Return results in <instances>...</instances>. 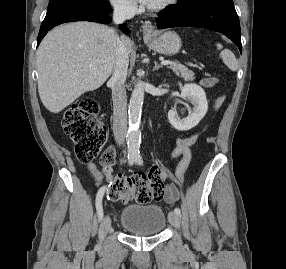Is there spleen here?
<instances>
[{"instance_id":"1","label":"spleen","mask_w":286,"mask_h":269,"mask_svg":"<svg viewBox=\"0 0 286 269\" xmlns=\"http://www.w3.org/2000/svg\"><path fill=\"white\" fill-rule=\"evenodd\" d=\"M218 49H222L221 44H217ZM220 57L223 62L231 69L232 71H236L238 68V64L235 58V55L228 49H225L221 52Z\"/></svg>"}]
</instances>
